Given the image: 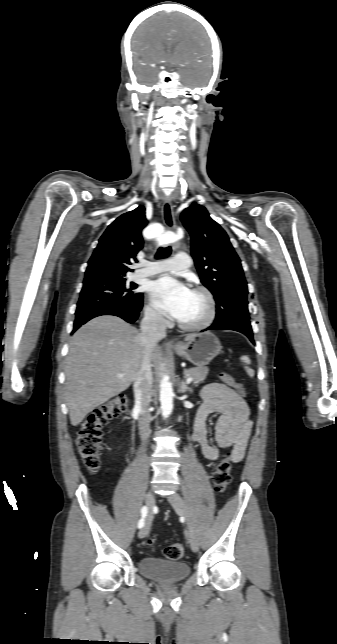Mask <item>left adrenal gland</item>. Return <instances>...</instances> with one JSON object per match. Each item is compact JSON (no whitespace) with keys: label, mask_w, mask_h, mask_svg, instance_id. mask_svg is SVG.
I'll return each mask as SVG.
<instances>
[{"label":"left adrenal gland","mask_w":337,"mask_h":644,"mask_svg":"<svg viewBox=\"0 0 337 644\" xmlns=\"http://www.w3.org/2000/svg\"><path fill=\"white\" fill-rule=\"evenodd\" d=\"M179 387H180L179 391L181 393H185V392H190L191 393L193 391L192 388L188 387L183 380L180 382Z\"/></svg>","instance_id":"a2214340"}]
</instances>
